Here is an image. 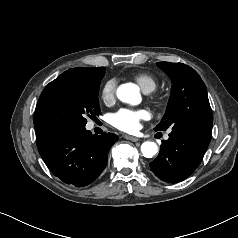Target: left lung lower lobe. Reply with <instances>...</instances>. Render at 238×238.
Instances as JSON below:
<instances>
[{
	"mask_svg": "<svg viewBox=\"0 0 238 238\" xmlns=\"http://www.w3.org/2000/svg\"><path fill=\"white\" fill-rule=\"evenodd\" d=\"M211 137L199 133L172 130L163 140L157 158L150 163L154 174L169 183L189 177L199 166Z\"/></svg>",
	"mask_w": 238,
	"mask_h": 238,
	"instance_id": "obj_1",
	"label": "left lung lower lobe"
}]
</instances>
